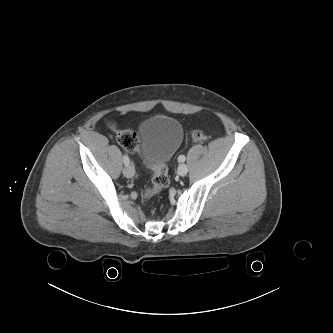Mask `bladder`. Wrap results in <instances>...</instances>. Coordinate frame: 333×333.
Segmentation results:
<instances>
[{
    "instance_id": "obj_1",
    "label": "bladder",
    "mask_w": 333,
    "mask_h": 333,
    "mask_svg": "<svg viewBox=\"0 0 333 333\" xmlns=\"http://www.w3.org/2000/svg\"><path fill=\"white\" fill-rule=\"evenodd\" d=\"M184 137L181 123L170 116L157 115L139 127V151L149 169L166 163L177 151Z\"/></svg>"
}]
</instances>
